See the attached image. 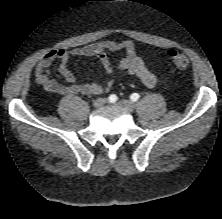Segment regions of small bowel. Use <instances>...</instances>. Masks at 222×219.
<instances>
[{
    "instance_id": "small-bowel-1",
    "label": "small bowel",
    "mask_w": 222,
    "mask_h": 219,
    "mask_svg": "<svg viewBox=\"0 0 222 219\" xmlns=\"http://www.w3.org/2000/svg\"><path fill=\"white\" fill-rule=\"evenodd\" d=\"M125 51V56L113 65L107 52ZM97 57L109 76L104 82L90 81L76 82L75 75L68 68L67 63L71 57ZM54 61H59L58 71L65 83H60L50 76L49 68ZM125 72L137 78L146 87H154L160 79L145 64L136 53L135 44L130 40L113 41L103 40L79 47H62L49 51L37 63L34 71L35 82L45 91L55 94H85L100 95L108 92L114 83L116 71Z\"/></svg>"
}]
</instances>
